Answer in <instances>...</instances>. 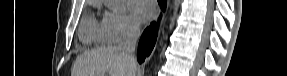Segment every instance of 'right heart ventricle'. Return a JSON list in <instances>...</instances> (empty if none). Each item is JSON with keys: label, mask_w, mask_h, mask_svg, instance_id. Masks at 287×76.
<instances>
[{"label": "right heart ventricle", "mask_w": 287, "mask_h": 76, "mask_svg": "<svg viewBox=\"0 0 287 76\" xmlns=\"http://www.w3.org/2000/svg\"><path fill=\"white\" fill-rule=\"evenodd\" d=\"M80 38L87 44H103L108 42L102 24L93 17H88L80 28Z\"/></svg>", "instance_id": "right-heart-ventricle-1"}]
</instances>
